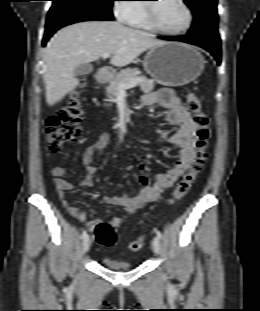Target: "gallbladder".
<instances>
[{
  "instance_id": "obj_1",
  "label": "gallbladder",
  "mask_w": 260,
  "mask_h": 311,
  "mask_svg": "<svg viewBox=\"0 0 260 311\" xmlns=\"http://www.w3.org/2000/svg\"><path fill=\"white\" fill-rule=\"evenodd\" d=\"M92 70L93 68L89 64H82L75 68L74 74L76 76H82L89 74Z\"/></svg>"
}]
</instances>
